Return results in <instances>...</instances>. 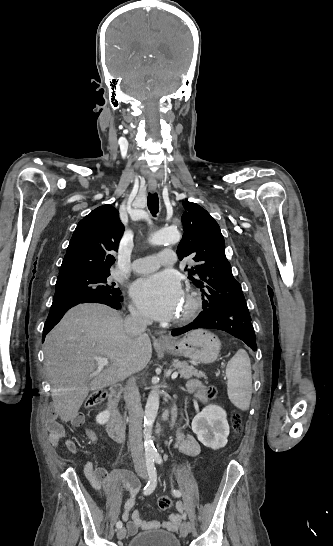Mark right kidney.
Segmentation results:
<instances>
[{
    "mask_svg": "<svg viewBox=\"0 0 333 546\" xmlns=\"http://www.w3.org/2000/svg\"><path fill=\"white\" fill-rule=\"evenodd\" d=\"M109 417H110L109 411H103V412H101V413H99L97 415L96 421H97V423L102 425V424H105L106 422H108Z\"/></svg>",
    "mask_w": 333,
    "mask_h": 546,
    "instance_id": "right-kidney-1",
    "label": "right kidney"
}]
</instances>
